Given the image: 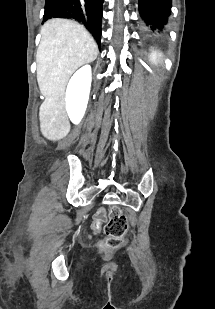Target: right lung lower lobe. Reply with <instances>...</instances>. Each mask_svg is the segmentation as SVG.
<instances>
[{"instance_id": "right-lung-lower-lobe-1", "label": "right lung lower lobe", "mask_w": 215, "mask_h": 309, "mask_svg": "<svg viewBox=\"0 0 215 309\" xmlns=\"http://www.w3.org/2000/svg\"><path fill=\"white\" fill-rule=\"evenodd\" d=\"M104 0H46L43 22L52 18L73 19L83 24L100 46Z\"/></svg>"}]
</instances>
